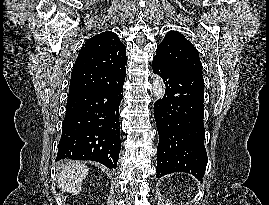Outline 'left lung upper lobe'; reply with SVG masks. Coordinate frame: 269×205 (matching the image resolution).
I'll use <instances>...</instances> for the list:
<instances>
[{
	"mask_svg": "<svg viewBox=\"0 0 269 205\" xmlns=\"http://www.w3.org/2000/svg\"><path fill=\"white\" fill-rule=\"evenodd\" d=\"M154 58L171 70L202 75V63L197 49L177 31L166 34L157 47Z\"/></svg>",
	"mask_w": 269,
	"mask_h": 205,
	"instance_id": "5c2ea615",
	"label": "left lung upper lobe"
}]
</instances>
